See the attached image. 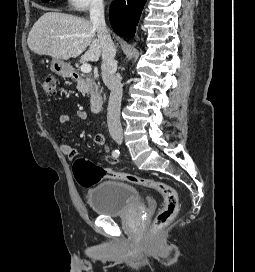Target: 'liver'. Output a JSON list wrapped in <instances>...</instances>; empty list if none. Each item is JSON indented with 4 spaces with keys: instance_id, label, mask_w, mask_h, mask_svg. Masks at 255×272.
I'll use <instances>...</instances> for the list:
<instances>
[{
    "instance_id": "liver-1",
    "label": "liver",
    "mask_w": 255,
    "mask_h": 272,
    "mask_svg": "<svg viewBox=\"0 0 255 272\" xmlns=\"http://www.w3.org/2000/svg\"><path fill=\"white\" fill-rule=\"evenodd\" d=\"M27 43L34 53L53 59L68 60L84 53L82 60L96 62L102 54L91 21L59 12L44 13L30 30Z\"/></svg>"
}]
</instances>
